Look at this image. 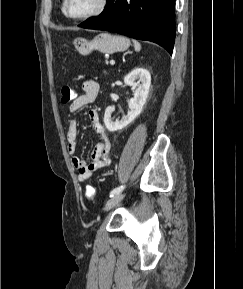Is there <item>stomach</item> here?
I'll return each instance as SVG.
<instances>
[{
    "instance_id": "1",
    "label": "stomach",
    "mask_w": 243,
    "mask_h": 289,
    "mask_svg": "<svg viewBox=\"0 0 243 289\" xmlns=\"http://www.w3.org/2000/svg\"><path fill=\"white\" fill-rule=\"evenodd\" d=\"M73 44L76 50L82 55H87L93 50L110 54L118 51H125L128 49L130 41L122 36L101 33L90 41L81 37L76 38Z\"/></svg>"
}]
</instances>
